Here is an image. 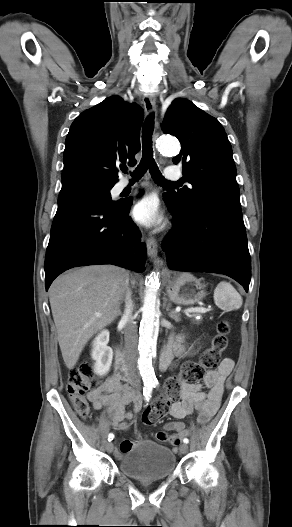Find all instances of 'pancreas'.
Returning a JSON list of instances; mask_svg holds the SVG:
<instances>
[{
	"instance_id": "obj_1",
	"label": "pancreas",
	"mask_w": 292,
	"mask_h": 527,
	"mask_svg": "<svg viewBox=\"0 0 292 527\" xmlns=\"http://www.w3.org/2000/svg\"><path fill=\"white\" fill-rule=\"evenodd\" d=\"M199 315H200L199 313H194V314L191 315L193 322H195V323H199L200 322V319H197V316H199Z\"/></svg>"
}]
</instances>
